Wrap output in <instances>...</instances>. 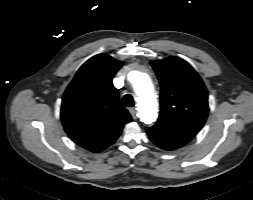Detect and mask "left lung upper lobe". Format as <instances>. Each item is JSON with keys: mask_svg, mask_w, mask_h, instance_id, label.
Instances as JSON below:
<instances>
[{"mask_svg": "<svg viewBox=\"0 0 253 200\" xmlns=\"http://www.w3.org/2000/svg\"><path fill=\"white\" fill-rule=\"evenodd\" d=\"M161 86L156 125L196 134L208 115V93L196 71L183 59L171 56L151 61Z\"/></svg>", "mask_w": 253, "mask_h": 200, "instance_id": "5c2ea615", "label": "left lung upper lobe"}]
</instances>
